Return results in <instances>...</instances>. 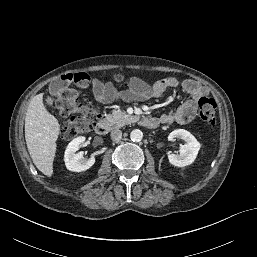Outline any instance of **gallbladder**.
<instances>
[{"label":"gallbladder","mask_w":257,"mask_h":257,"mask_svg":"<svg viewBox=\"0 0 257 257\" xmlns=\"http://www.w3.org/2000/svg\"><path fill=\"white\" fill-rule=\"evenodd\" d=\"M53 102H54V99H53L51 96H47V97H46V103H47L49 106H52V105H53Z\"/></svg>","instance_id":"bac80fb5"}]
</instances>
